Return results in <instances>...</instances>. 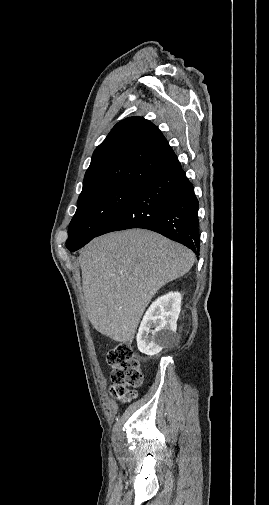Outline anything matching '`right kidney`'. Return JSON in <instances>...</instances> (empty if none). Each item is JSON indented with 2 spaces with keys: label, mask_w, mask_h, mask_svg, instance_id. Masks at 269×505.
Returning <instances> with one entry per match:
<instances>
[{
  "label": "right kidney",
  "mask_w": 269,
  "mask_h": 505,
  "mask_svg": "<svg viewBox=\"0 0 269 505\" xmlns=\"http://www.w3.org/2000/svg\"><path fill=\"white\" fill-rule=\"evenodd\" d=\"M181 299L179 292H169L151 304L137 333L140 352L153 356L175 341Z\"/></svg>",
  "instance_id": "right-kidney-1"
}]
</instances>
